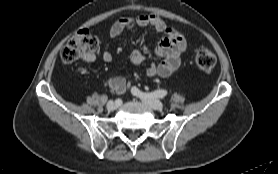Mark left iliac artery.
Here are the masks:
<instances>
[{"label": "left iliac artery", "instance_id": "44dca946", "mask_svg": "<svg viewBox=\"0 0 278 174\" xmlns=\"http://www.w3.org/2000/svg\"><path fill=\"white\" fill-rule=\"evenodd\" d=\"M132 93L140 98H148V99H154V98H164L167 95L166 90H156L151 93H144L140 91L137 87H132L131 89Z\"/></svg>", "mask_w": 278, "mask_h": 174}]
</instances>
